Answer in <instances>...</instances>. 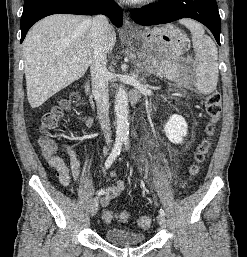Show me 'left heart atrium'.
Masks as SVG:
<instances>
[{
    "label": "left heart atrium",
    "instance_id": "1",
    "mask_svg": "<svg viewBox=\"0 0 247 257\" xmlns=\"http://www.w3.org/2000/svg\"><path fill=\"white\" fill-rule=\"evenodd\" d=\"M128 1L136 2V1H139V0H128Z\"/></svg>",
    "mask_w": 247,
    "mask_h": 257
}]
</instances>
